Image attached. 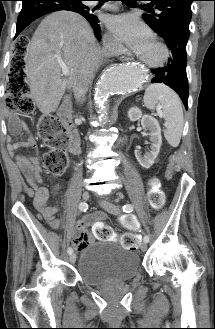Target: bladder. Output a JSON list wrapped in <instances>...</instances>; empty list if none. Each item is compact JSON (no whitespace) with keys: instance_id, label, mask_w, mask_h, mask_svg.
Wrapping results in <instances>:
<instances>
[{"instance_id":"31cf9c89","label":"bladder","mask_w":215,"mask_h":329,"mask_svg":"<svg viewBox=\"0 0 215 329\" xmlns=\"http://www.w3.org/2000/svg\"><path fill=\"white\" fill-rule=\"evenodd\" d=\"M139 272L138 254L114 240H97L86 246L77 269L78 277L90 286L129 281Z\"/></svg>"}]
</instances>
